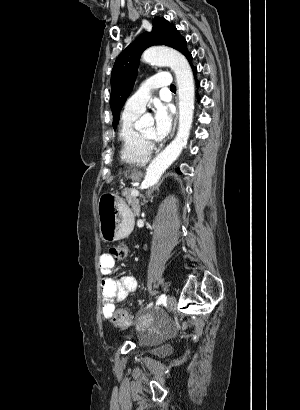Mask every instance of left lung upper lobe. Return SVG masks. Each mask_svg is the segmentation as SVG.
Wrapping results in <instances>:
<instances>
[{
  "label": "left lung upper lobe",
  "instance_id": "obj_1",
  "mask_svg": "<svg viewBox=\"0 0 300 410\" xmlns=\"http://www.w3.org/2000/svg\"><path fill=\"white\" fill-rule=\"evenodd\" d=\"M151 32H144L118 56L111 73L110 106L113 113V127L119 123L120 110L132 91L141 53L154 45L170 46L186 57L190 54L186 40L173 24L165 18H154Z\"/></svg>",
  "mask_w": 300,
  "mask_h": 410
}]
</instances>
